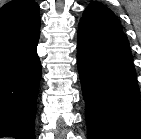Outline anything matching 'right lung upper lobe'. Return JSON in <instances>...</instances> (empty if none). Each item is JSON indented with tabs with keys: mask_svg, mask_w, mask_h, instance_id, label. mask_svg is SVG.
Here are the masks:
<instances>
[{
	"mask_svg": "<svg viewBox=\"0 0 141 139\" xmlns=\"http://www.w3.org/2000/svg\"><path fill=\"white\" fill-rule=\"evenodd\" d=\"M40 32L39 5L34 0H12L0 8V45Z\"/></svg>",
	"mask_w": 141,
	"mask_h": 139,
	"instance_id": "cb5924a9",
	"label": "right lung upper lobe"
}]
</instances>
